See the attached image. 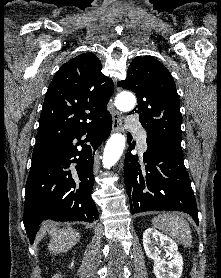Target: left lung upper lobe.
Wrapping results in <instances>:
<instances>
[{
	"label": "left lung upper lobe",
	"instance_id": "1",
	"mask_svg": "<svg viewBox=\"0 0 221 278\" xmlns=\"http://www.w3.org/2000/svg\"><path fill=\"white\" fill-rule=\"evenodd\" d=\"M118 86L136 93L139 121L147 138L173 137L181 139L180 101L175 83L163 64L145 56L135 58L125 80Z\"/></svg>",
	"mask_w": 221,
	"mask_h": 278
}]
</instances>
